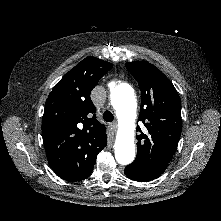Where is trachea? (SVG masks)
<instances>
[{"label": "trachea", "mask_w": 221, "mask_h": 221, "mask_svg": "<svg viewBox=\"0 0 221 221\" xmlns=\"http://www.w3.org/2000/svg\"><path fill=\"white\" fill-rule=\"evenodd\" d=\"M103 119L106 121V122H112L113 119H114V116L112 114V112L110 111H105L104 114H103Z\"/></svg>", "instance_id": "1"}]
</instances>
